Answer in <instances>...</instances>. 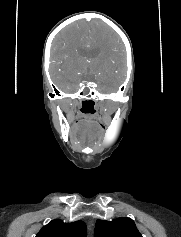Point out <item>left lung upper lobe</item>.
Instances as JSON below:
<instances>
[{"label":"left lung upper lobe","instance_id":"1","mask_svg":"<svg viewBox=\"0 0 181 237\" xmlns=\"http://www.w3.org/2000/svg\"><path fill=\"white\" fill-rule=\"evenodd\" d=\"M94 237H142V235L132 219L122 217L112 221L98 219Z\"/></svg>","mask_w":181,"mask_h":237}]
</instances>
